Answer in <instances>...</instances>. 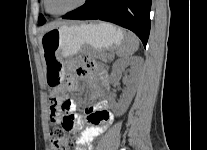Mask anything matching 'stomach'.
Returning a JSON list of instances; mask_svg holds the SVG:
<instances>
[{"instance_id": "1", "label": "stomach", "mask_w": 207, "mask_h": 150, "mask_svg": "<svg viewBox=\"0 0 207 150\" xmlns=\"http://www.w3.org/2000/svg\"><path fill=\"white\" fill-rule=\"evenodd\" d=\"M124 32L105 22L69 23L53 28L42 35L41 49L50 86L62 84L66 67L64 59H72L83 46L99 58L114 52L124 41Z\"/></svg>"}]
</instances>
